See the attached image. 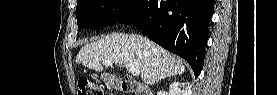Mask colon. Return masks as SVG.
Masks as SVG:
<instances>
[{
    "instance_id": "1",
    "label": "colon",
    "mask_w": 277,
    "mask_h": 95,
    "mask_svg": "<svg viewBox=\"0 0 277 95\" xmlns=\"http://www.w3.org/2000/svg\"><path fill=\"white\" fill-rule=\"evenodd\" d=\"M105 87L99 84H95L88 78H81L79 81L78 92L81 95L93 94L102 95L104 94Z\"/></svg>"
}]
</instances>
